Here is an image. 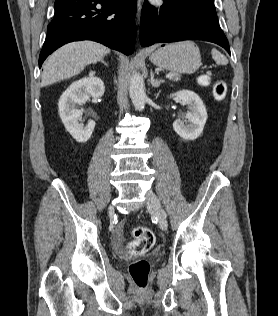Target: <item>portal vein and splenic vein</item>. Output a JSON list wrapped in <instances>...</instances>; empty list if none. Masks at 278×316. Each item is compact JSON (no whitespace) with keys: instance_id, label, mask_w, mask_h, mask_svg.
<instances>
[{"instance_id":"obj_1","label":"portal vein and splenic vein","mask_w":278,"mask_h":316,"mask_svg":"<svg viewBox=\"0 0 278 316\" xmlns=\"http://www.w3.org/2000/svg\"><path fill=\"white\" fill-rule=\"evenodd\" d=\"M167 79H172L174 77L173 73H169L165 76Z\"/></svg>"}]
</instances>
